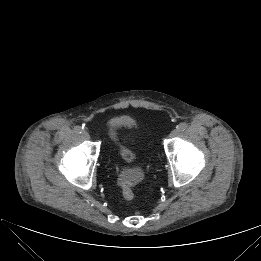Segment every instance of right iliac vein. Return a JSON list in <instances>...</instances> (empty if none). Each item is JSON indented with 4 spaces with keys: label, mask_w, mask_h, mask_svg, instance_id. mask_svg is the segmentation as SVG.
<instances>
[{
    "label": "right iliac vein",
    "mask_w": 261,
    "mask_h": 261,
    "mask_svg": "<svg viewBox=\"0 0 261 261\" xmlns=\"http://www.w3.org/2000/svg\"><path fill=\"white\" fill-rule=\"evenodd\" d=\"M82 136H83V138H85V139H89V138H90V135H89V133H88L87 131H83V132H82Z\"/></svg>",
    "instance_id": "obj_1"
}]
</instances>
